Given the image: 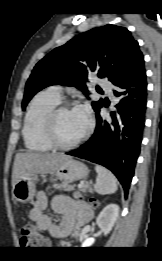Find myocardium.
Returning <instances> with one entry per match:
<instances>
[{
    "label": "myocardium",
    "mask_w": 162,
    "mask_h": 261,
    "mask_svg": "<svg viewBox=\"0 0 162 261\" xmlns=\"http://www.w3.org/2000/svg\"><path fill=\"white\" fill-rule=\"evenodd\" d=\"M71 110V105L69 103L63 102L59 103L56 106H54L45 116L44 119V133L46 136V139L50 143V145L53 148L59 149V150H69L73 149L79 144H81L85 138L88 135L89 128L87 127L86 130L83 132V134L77 138L75 141L70 143H63L61 142L56 133V120L58 115L63 112Z\"/></svg>",
    "instance_id": "myocardium-1"
}]
</instances>
